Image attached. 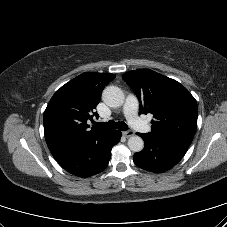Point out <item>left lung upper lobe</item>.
<instances>
[{
    "label": "left lung upper lobe",
    "mask_w": 227,
    "mask_h": 227,
    "mask_svg": "<svg viewBox=\"0 0 227 227\" xmlns=\"http://www.w3.org/2000/svg\"><path fill=\"white\" fill-rule=\"evenodd\" d=\"M140 101V113H151L153 136L190 145L197 128L198 107L195 98L176 80L149 69L123 75Z\"/></svg>",
    "instance_id": "obj_1"
}]
</instances>
